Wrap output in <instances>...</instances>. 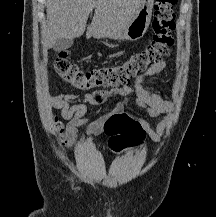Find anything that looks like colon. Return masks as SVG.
<instances>
[{
    "mask_svg": "<svg viewBox=\"0 0 216 217\" xmlns=\"http://www.w3.org/2000/svg\"><path fill=\"white\" fill-rule=\"evenodd\" d=\"M177 0H156L152 22L154 35L151 42L142 50L136 51L122 63L82 70L68 59V52L63 51L54 60L56 74L65 82L79 89L110 87L127 83L131 78L147 68L161 62L169 55L173 44L174 6ZM55 129L61 133L63 125L56 123ZM109 135L112 151L120 152L131 146H138L144 139V131L139 124L126 115L111 119L105 127Z\"/></svg>",
    "mask_w": 216,
    "mask_h": 217,
    "instance_id": "obj_1",
    "label": "colon"
}]
</instances>
